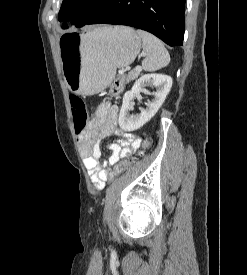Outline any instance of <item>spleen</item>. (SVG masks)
<instances>
[{
    "instance_id": "3e777b00",
    "label": "spleen",
    "mask_w": 247,
    "mask_h": 275,
    "mask_svg": "<svg viewBox=\"0 0 247 275\" xmlns=\"http://www.w3.org/2000/svg\"><path fill=\"white\" fill-rule=\"evenodd\" d=\"M142 38L143 50L146 58L142 61L145 71H156L167 66L170 62V55L160 39L143 30H137Z\"/></svg>"
}]
</instances>
